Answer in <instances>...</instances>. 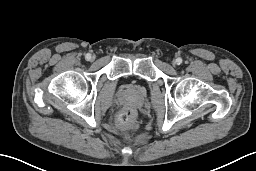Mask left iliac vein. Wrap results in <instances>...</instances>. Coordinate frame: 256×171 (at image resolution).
Segmentation results:
<instances>
[{"label":"left iliac vein","mask_w":256,"mask_h":171,"mask_svg":"<svg viewBox=\"0 0 256 171\" xmlns=\"http://www.w3.org/2000/svg\"><path fill=\"white\" fill-rule=\"evenodd\" d=\"M176 64H177V60H174V61H173V65H176Z\"/></svg>","instance_id":"left-iliac-vein-1"}]
</instances>
